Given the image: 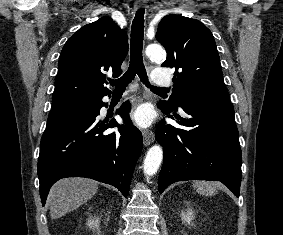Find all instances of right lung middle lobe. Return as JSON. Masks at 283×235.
<instances>
[{
  "label": "right lung middle lobe",
  "mask_w": 283,
  "mask_h": 235,
  "mask_svg": "<svg viewBox=\"0 0 283 235\" xmlns=\"http://www.w3.org/2000/svg\"><path fill=\"white\" fill-rule=\"evenodd\" d=\"M95 99L80 98L53 103L46 129H52L82 116L94 104Z\"/></svg>",
  "instance_id": "obj_1"
}]
</instances>
